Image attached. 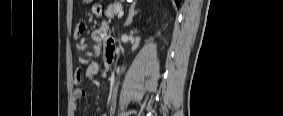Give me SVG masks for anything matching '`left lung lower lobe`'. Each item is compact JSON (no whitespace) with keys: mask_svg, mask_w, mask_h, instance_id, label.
<instances>
[{"mask_svg":"<svg viewBox=\"0 0 283 116\" xmlns=\"http://www.w3.org/2000/svg\"><path fill=\"white\" fill-rule=\"evenodd\" d=\"M175 1H176V4L179 5L180 0H175Z\"/></svg>","mask_w":283,"mask_h":116,"instance_id":"obj_1","label":"left lung lower lobe"}]
</instances>
